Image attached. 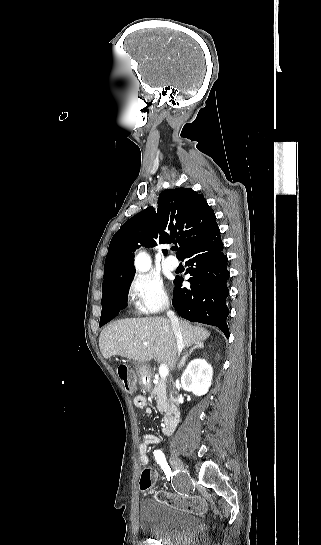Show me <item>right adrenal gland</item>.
I'll return each instance as SVG.
<instances>
[{
  "instance_id": "obj_1",
  "label": "right adrenal gland",
  "mask_w": 321,
  "mask_h": 545,
  "mask_svg": "<svg viewBox=\"0 0 321 545\" xmlns=\"http://www.w3.org/2000/svg\"><path fill=\"white\" fill-rule=\"evenodd\" d=\"M195 349H204V345L203 343H194V347H192V349H190L189 353H186L185 357H183L182 361H180L179 365H178V369H182V367H184L185 363H186V359H188V357H190V355H192L193 351H195Z\"/></svg>"
}]
</instances>
